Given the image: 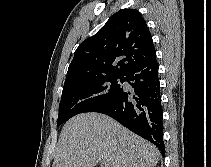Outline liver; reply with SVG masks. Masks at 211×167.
Returning <instances> with one entry per match:
<instances>
[{
    "label": "liver",
    "mask_w": 211,
    "mask_h": 167,
    "mask_svg": "<svg viewBox=\"0 0 211 167\" xmlns=\"http://www.w3.org/2000/svg\"><path fill=\"white\" fill-rule=\"evenodd\" d=\"M159 157L156 146L109 116L85 113L64 125L52 167H154Z\"/></svg>",
    "instance_id": "6515ba94"
}]
</instances>
